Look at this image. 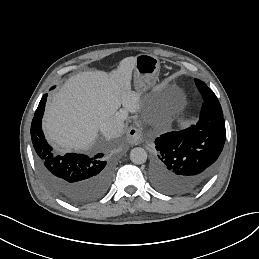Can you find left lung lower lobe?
Here are the masks:
<instances>
[{
  "label": "left lung lower lobe",
  "instance_id": "left-lung-lower-lobe-1",
  "mask_svg": "<svg viewBox=\"0 0 259 259\" xmlns=\"http://www.w3.org/2000/svg\"><path fill=\"white\" fill-rule=\"evenodd\" d=\"M204 103L197 124L172 131L155 140L150 168L152 184L168 194H189L216 171L226 130L221 105L210 89L199 90Z\"/></svg>",
  "mask_w": 259,
  "mask_h": 259
}]
</instances>
